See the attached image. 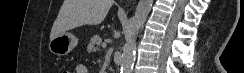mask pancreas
I'll return each instance as SVG.
<instances>
[{"mask_svg":"<svg viewBox=\"0 0 244 73\" xmlns=\"http://www.w3.org/2000/svg\"><path fill=\"white\" fill-rule=\"evenodd\" d=\"M101 43H102L101 37L99 35H94L90 39V42L86 47V51L88 53L96 52L97 50H99Z\"/></svg>","mask_w":244,"mask_h":73,"instance_id":"pancreas-1","label":"pancreas"}]
</instances>
